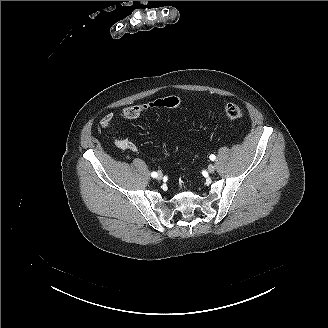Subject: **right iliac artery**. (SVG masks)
Wrapping results in <instances>:
<instances>
[{"instance_id": "1", "label": "right iliac artery", "mask_w": 328, "mask_h": 328, "mask_svg": "<svg viewBox=\"0 0 328 328\" xmlns=\"http://www.w3.org/2000/svg\"><path fill=\"white\" fill-rule=\"evenodd\" d=\"M151 176H152L153 178H156V177H157V173H156V172H152V173H151Z\"/></svg>"}]
</instances>
